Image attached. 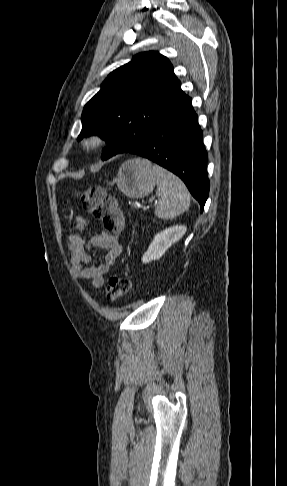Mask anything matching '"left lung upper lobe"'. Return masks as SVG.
Wrapping results in <instances>:
<instances>
[{
    "instance_id": "left-lung-upper-lobe-1",
    "label": "left lung upper lobe",
    "mask_w": 287,
    "mask_h": 486,
    "mask_svg": "<svg viewBox=\"0 0 287 486\" xmlns=\"http://www.w3.org/2000/svg\"><path fill=\"white\" fill-rule=\"evenodd\" d=\"M170 61L158 52L136 55L108 75L82 112L81 140L98 134L109 144L102 160L138 147L185 95Z\"/></svg>"
}]
</instances>
